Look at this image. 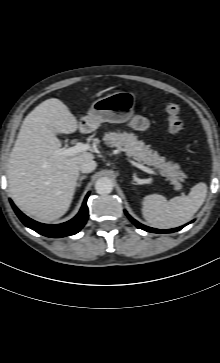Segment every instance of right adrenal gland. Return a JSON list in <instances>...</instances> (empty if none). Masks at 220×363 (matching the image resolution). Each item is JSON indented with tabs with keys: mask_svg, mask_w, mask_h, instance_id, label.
I'll return each mask as SVG.
<instances>
[{
	"mask_svg": "<svg viewBox=\"0 0 220 363\" xmlns=\"http://www.w3.org/2000/svg\"><path fill=\"white\" fill-rule=\"evenodd\" d=\"M86 178H87V176H86V175L81 176V177L79 178V180H78V183H77L76 187H80V186H81V182H82L84 179H86Z\"/></svg>",
	"mask_w": 220,
	"mask_h": 363,
	"instance_id": "right-adrenal-gland-1",
	"label": "right adrenal gland"
}]
</instances>
